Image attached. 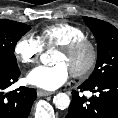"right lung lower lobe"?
<instances>
[{"instance_id": "1", "label": "right lung lower lobe", "mask_w": 118, "mask_h": 118, "mask_svg": "<svg viewBox=\"0 0 118 118\" xmlns=\"http://www.w3.org/2000/svg\"><path fill=\"white\" fill-rule=\"evenodd\" d=\"M19 69L11 73H0V118H27L37 97L35 89L20 87L9 93L4 90L15 83Z\"/></svg>"}]
</instances>
